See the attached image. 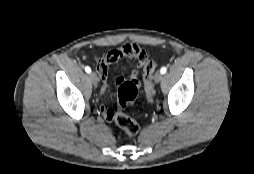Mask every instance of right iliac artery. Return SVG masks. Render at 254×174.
<instances>
[{
  "label": "right iliac artery",
  "instance_id": "1",
  "mask_svg": "<svg viewBox=\"0 0 254 174\" xmlns=\"http://www.w3.org/2000/svg\"><path fill=\"white\" fill-rule=\"evenodd\" d=\"M85 71H86L87 73H90V72H91V68L88 67V66H86V67H85Z\"/></svg>",
  "mask_w": 254,
  "mask_h": 174
}]
</instances>
